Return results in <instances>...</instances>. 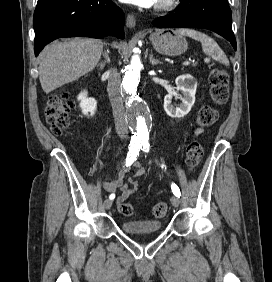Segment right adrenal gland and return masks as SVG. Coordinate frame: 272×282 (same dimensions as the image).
<instances>
[{"mask_svg": "<svg viewBox=\"0 0 272 282\" xmlns=\"http://www.w3.org/2000/svg\"><path fill=\"white\" fill-rule=\"evenodd\" d=\"M103 56H104V58H105V61H103V62H101V63L98 64V66H99L101 69H104L106 63H110L109 50H104V51H103Z\"/></svg>", "mask_w": 272, "mask_h": 282, "instance_id": "right-adrenal-gland-1", "label": "right adrenal gland"}]
</instances>
